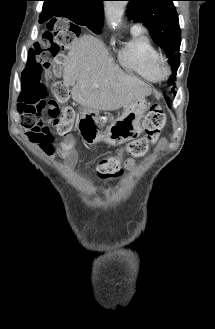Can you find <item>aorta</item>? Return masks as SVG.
Instances as JSON below:
<instances>
[{
    "mask_svg": "<svg viewBox=\"0 0 215 329\" xmlns=\"http://www.w3.org/2000/svg\"><path fill=\"white\" fill-rule=\"evenodd\" d=\"M124 1H107L105 5V15L108 24L113 28H118L121 24L124 12Z\"/></svg>",
    "mask_w": 215,
    "mask_h": 329,
    "instance_id": "aorta-1",
    "label": "aorta"
}]
</instances>
